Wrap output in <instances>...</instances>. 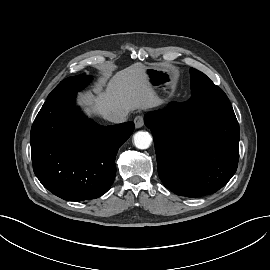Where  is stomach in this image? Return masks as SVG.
<instances>
[{
	"mask_svg": "<svg viewBox=\"0 0 270 270\" xmlns=\"http://www.w3.org/2000/svg\"><path fill=\"white\" fill-rule=\"evenodd\" d=\"M144 67L148 80L153 84L154 89L162 94L163 97L167 98L169 96V89L177 79L176 69L165 63Z\"/></svg>",
	"mask_w": 270,
	"mask_h": 270,
	"instance_id": "stomach-1",
	"label": "stomach"
}]
</instances>
